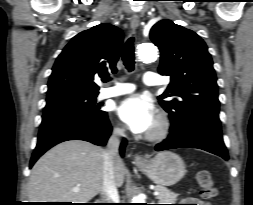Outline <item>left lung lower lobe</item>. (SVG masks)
<instances>
[{"label": "left lung lower lobe", "mask_w": 253, "mask_h": 205, "mask_svg": "<svg viewBox=\"0 0 253 205\" xmlns=\"http://www.w3.org/2000/svg\"><path fill=\"white\" fill-rule=\"evenodd\" d=\"M176 148H198L221 156L225 160L229 159L219 117L210 114L196 116L185 126L172 124L169 136L157 144L155 150Z\"/></svg>", "instance_id": "1"}]
</instances>
